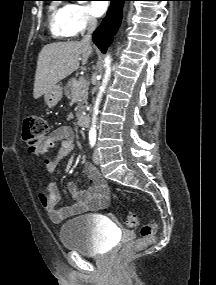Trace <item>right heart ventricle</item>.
<instances>
[{
	"label": "right heart ventricle",
	"instance_id": "obj_1",
	"mask_svg": "<svg viewBox=\"0 0 216 285\" xmlns=\"http://www.w3.org/2000/svg\"><path fill=\"white\" fill-rule=\"evenodd\" d=\"M50 30L55 38L63 39L74 35L68 19L67 5L50 8Z\"/></svg>",
	"mask_w": 216,
	"mask_h": 285
}]
</instances>
